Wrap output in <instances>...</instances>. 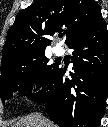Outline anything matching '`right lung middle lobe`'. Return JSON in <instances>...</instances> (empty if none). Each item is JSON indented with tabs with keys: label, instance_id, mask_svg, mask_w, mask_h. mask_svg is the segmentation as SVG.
Segmentation results:
<instances>
[{
	"label": "right lung middle lobe",
	"instance_id": "1",
	"mask_svg": "<svg viewBox=\"0 0 108 127\" xmlns=\"http://www.w3.org/2000/svg\"><path fill=\"white\" fill-rule=\"evenodd\" d=\"M44 53L24 57L6 62L1 65V100L12 97L13 92L20 95L31 94V85L34 82L44 86L57 69V64H48Z\"/></svg>",
	"mask_w": 108,
	"mask_h": 127
}]
</instances>
